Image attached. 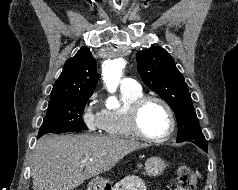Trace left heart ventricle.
<instances>
[{
    "label": "left heart ventricle",
    "mask_w": 238,
    "mask_h": 190,
    "mask_svg": "<svg viewBox=\"0 0 238 190\" xmlns=\"http://www.w3.org/2000/svg\"><path fill=\"white\" fill-rule=\"evenodd\" d=\"M140 125L146 134L160 137L169 130L170 120L160 104L151 102L143 108L140 114Z\"/></svg>",
    "instance_id": "left-heart-ventricle-1"
}]
</instances>
